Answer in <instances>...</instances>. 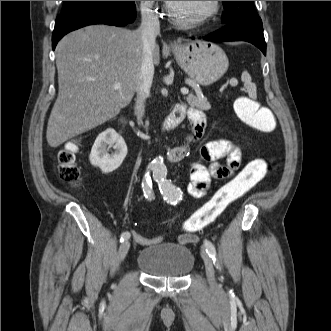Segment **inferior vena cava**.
I'll return each mask as SVG.
<instances>
[{
  "instance_id": "602c4592",
  "label": "inferior vena cava",
  "mask_w": 331,
  "mask_h": 331,
  "mask_svg": "<svg viewBox=\"0 0 331 331\" xmlns=\"http://www.w3.org/2000/svg\"><path fill=\"white\" fill-rule=\"evenodd\" d=\"M142 22L138 29L143 44L141 82L136 89V103L134 113L138 121H142L145 114V102L150 94L154 75L153 49L156 36L160 32L158 16L148 7L141 9Z\"/></svg>"
}]
</instances>
